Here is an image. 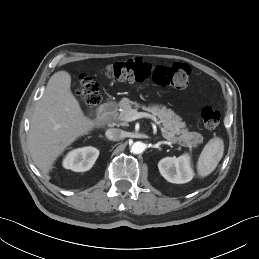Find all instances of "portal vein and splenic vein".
Returning <instances> with one entry per match:
<instances>
[{"instance_id": "1", "label": "portal vein and splenic vein", "mask_w": 259, "mask_h": 259, "mask_svg": "<svg viewBox=\"0 0 259 259\" xmlns=\"http://www.w3.org/2000/svg\"><path fill=\"white\" fill-rule=\"evenodd\" d=\"M140 118H149L152 121H154L158 126L161 127V122L155 116H153L149 113H146V112H138L135 109L130 110L128 112V114L125 115L123 121L131 122V121H135ZM161 130L163 131V128H161Z\"/></svg>"}]
</instances>
